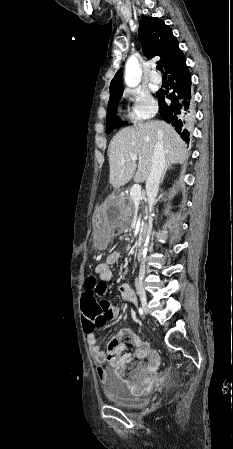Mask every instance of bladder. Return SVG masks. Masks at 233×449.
<instances>
[{"label":"bladder","instance_id":"bladder-1","mask_svg":"<svg viewBox=\"0 0 233 449\" xmlns=\"http://www.w3.org/2000/svg\"><path fill=\"white\" fill-rule=\"evenodd\" d=\"M104 393L106 398L116 407L123 409H135L146 405V400L136 397L125 385L110 381Z\"/></svg>","mask_w":233,"mask_h":449}]
</instances>
